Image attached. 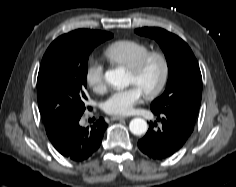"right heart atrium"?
<instances>
[{
    "label": "right heart atrium",
    "mask_w": 236,
    "mask_h": 187,
    "mask_svg": "<svg viewBox=\"0 0 236 187\" xmlns=\"http://www.w3.org/2000/svg\"><path fill=\"white\" fill-rule=\"evenodd\" d=\"M85 82L95 92H103L106 89L104 70L100 63L93 61L85 70Z\"/></svg>",
    "instance_id": "obj_1"
}]
</instances>
